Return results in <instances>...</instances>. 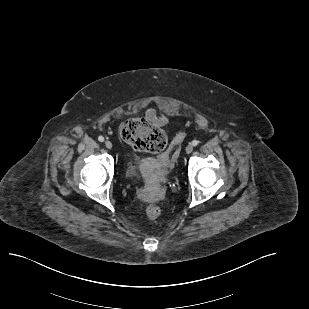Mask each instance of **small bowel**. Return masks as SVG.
<instances>
[{"label": "small bowel", "instance_id": "obj_1", "mask_svg": "<svg viewBox=\"0 0 309 309\" xmlns=\"http://www.w3.org/2000/svg\"><path fill=\"white\" fill-rule=\"evenodd\" d=\"M145 117L157 127H166L168 125L167 116L164 114H159L154 108H148L145 112Z\"/></svg>", "mask_w": 309, "mask_h": 309}]
</instances>
